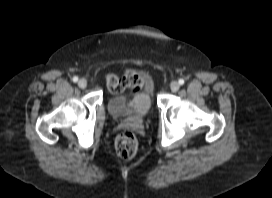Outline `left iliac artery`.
<instances>
[{
	"instance_id": "left-iliac-artery-1",
	"label": "left iliac artery",
	"mask_w": 272,
	"mask_h": 198,
	"mask_svg": "<svg viewBox=\"0 0 272 198\" xmlns=\"http://www.w3.org/2000/svg\"><path fill=\"white\" fill-rule=\"evenodd\" d=\"M178 82H179L180 85H183V84H184V80H183V79H179Z\"/></svg>"
}]
</instances>
